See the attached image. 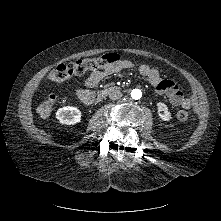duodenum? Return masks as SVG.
Here are the masks:
<instances>
[{
  "instance_id": "1",
  "label": "duodenum",
  "mask_w": 221,
  "mask_h": 221,
  "mask_svg": "<svg viewBox=\"0 0 221 221\" xmlns=\"http://www.w3.org/2000/svg\"><path fill=\"white\" fill-rule=\"evenodd\" d=\"M110 90L109 89H104V90H101L100 92H98L97 96H96V99L97 100H101L103 99L104 97H106L108 94H109ZM94 99V97L90 100V102H92ZM88 102V103H90Z\"/></svg>"
}]
</instances>
